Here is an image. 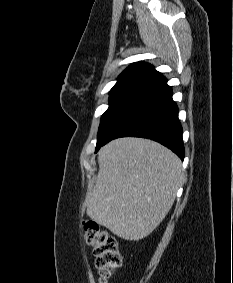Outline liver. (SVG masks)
<instances>
[{"mask_svg":"<svg viewBox=\"0 0 233 283\" xmlns=\"http://www.w3.org/2000/svg\"><path fill=\"white\" fill-rule=\"evenodd\" d=\"M87 215L125 240L151 234L170 211L184 178L176 154L152 140L125 137L98 152Z\"/></svg>","mask_w":233,"mask_h":283,"instance_id":"liver-1","label":"liver"}]
</instances>
